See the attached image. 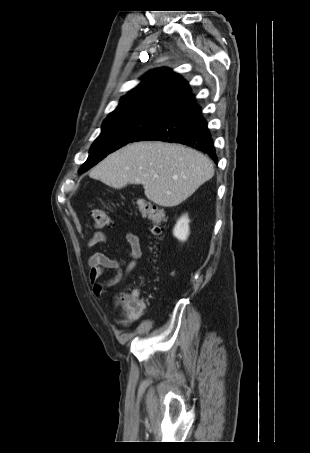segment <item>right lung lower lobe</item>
<instances>
[{
  "mask_svg": "<svg viewBox=\"0 0 310 453\" xmlns=\"http://www.w3.org/2000/svg\"><path fill=\"white\" fill-rule=\"evenodd\" d=\"M144 140L181 143L208 154L217 163L207 122L193 94L169 107L135 141Z\"/></svg>",
  "mask_w": 310,
  "mask_h": 453,
  "instance_id": "right-lung-lower-lobe-1",
  "label": "right lung lower lobe"
}]
</instances>
